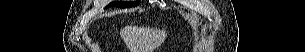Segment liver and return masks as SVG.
Masks as SVG:
<instances>
[{"instance_id":"6515ba94","label":"liver","mask_w":305,"mask_h":52,"mask_svg":"<svg viewBox=\"0 0 305 52\" xmlns=\"http://www.w3.org/2000/svg\"><path fill=\"white\" fill-rule=\"evenodd\" d=\"M165 39V32H162L160 37L154 42V46H159L162 41Z\"/></svg>"}]
</instances>
